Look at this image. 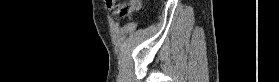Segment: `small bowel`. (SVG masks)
Returning <instances> with one entry per match:
<instances>
[{"instance_id":"1","label":"small bowel","mask_w":279,"mask_h":82,"mask_svg":"<svg viewBox=\"0 0 279 82\" xmlns=\"http://www.w3.org/2000/svg\"><path fill=\"white\" fill-rule=\"evenodd\" d=\"M106 4L115 18L130 17L131 15L139 11L141 7V5L135 7L132 4L122 5V4L113 3L111 1H106Z\"/></svg>"}]
</instances>
